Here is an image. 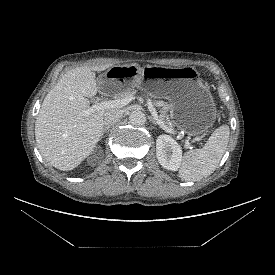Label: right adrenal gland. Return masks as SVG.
Instances as JSON below:
<instances>
[{
  "label": "right adrenal gland",
  "instance_id": "1",
  "mask_svg": "<svg viewBox=\"0 0 275 275\" xmlns=\"http://www.w3.org/2000/svg\"><path fill=\"white\" fill-rule=\"evenodd\" d=\"M109 129V126H105L103 129H102V133H101V136H103V134Z\"/></svg>",
  "mask_w": 275,
  "mask_h": 275
}]
</instances>
